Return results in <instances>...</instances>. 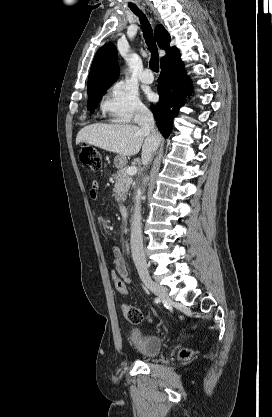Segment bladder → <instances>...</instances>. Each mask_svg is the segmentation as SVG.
Segmentation results:
<instances>
[{"instance_id": "1", "label": "bladder", "mask_w": 272, "mask_h": 417, "mask_svg": "<svg viewBox=\"0 0 272 417\" xmlns=\"http://www.w3.org/2000/svg\"><path fill=\"white\" fill-rule=\"evenodd\" d=\"M130 339L137 352L144 358H154L161 351L162 340L156 335H142L139 331L133 330Z\"/></svg>"}]
</instances>
